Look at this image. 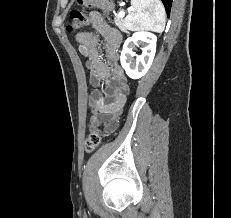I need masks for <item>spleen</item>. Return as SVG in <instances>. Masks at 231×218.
<instances>
[{
    "mask_svg": "<svg viewBox=\"0 0 231 218\" xmlns=\"http://www.w3.org/2000/svg\"><path fill=\"white\" fill-rule=\"evenodd\" d=\"M132 10L124 19L130 31L151 30L161 33L166 23L165 8L160 0H131Z\"/></svg>",
    "mask_w": 231,
    "mask_h": 218,
    "instance_id": "1",
    "label": "spleen"
}]
</instances>
